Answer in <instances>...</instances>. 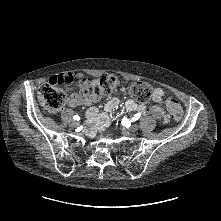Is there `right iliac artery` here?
<instances>
[{"label": "right iliac artery", "instance_id": "obj_1", "mask_svg": "<svg viewBox=\"0 0 221 221\" xmlns=\"http://www.w3.org/2000/svg\"><path fill=\"white\" fill-rule=\"evenodd\" d=\"M74 120H80V117L78 115L73 116Z\"/></svg>", "mask_w": 221, "mask_h": 221}]
</instances>
